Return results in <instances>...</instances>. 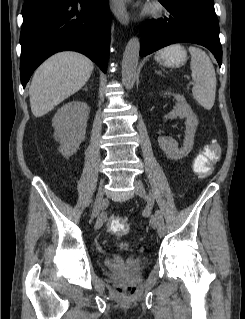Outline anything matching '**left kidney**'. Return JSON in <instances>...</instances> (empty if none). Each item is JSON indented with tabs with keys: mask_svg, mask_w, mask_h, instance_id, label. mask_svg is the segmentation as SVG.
<instances>
[{
	"mask_svg": "<svg viewBox=\"0 0 245 319\" xmlns=\"http://www.w3.org/2000/svg\"><path fill=\"white\" fill-rule=\"evenodd\" d=\"M165 94H171V92H166ZM172 95L176 99L177 104L174 109L165 116V118H186V131L183 147L179 149L178 143L171 137H160L158 142L169 159L177 160L187 156L192 150L194 145V136L198 126V119L183 95L177 93H173Z\"/></svg>",
	"mask_w": 245,
	"mask_h": 319,
	"instance_id": "5707ae66",
	"label": "left kidney"
}]
</instances>
